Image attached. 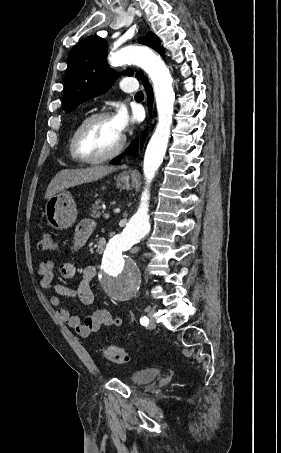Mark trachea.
<instances>
[{"instance_id": "1", "label": "trachea", "mask_w": 281, "mask_h": 453, "mask_svg": "<svg viewBox=\"0 0 281 453\" xmlns=\"http://www.w3.org/2000/svg\"><path fill=\"white\" fill-rule=\"evenodd\" d=\"M135 97H144L143 92H141V91H140V92H137V93L135 94Z\"/></svg>"}]
</instances>
